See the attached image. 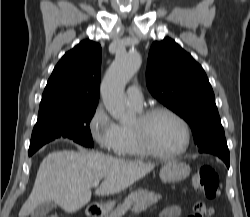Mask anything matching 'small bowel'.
<instances>
[{
	"mask_svg": "<svg viewBox=\"0 0 250 217\" xmlns=\"http://www.w3.org/2000/svg\"><path fill=\"white\" fill-rule=\"evenodd\" d=\"M181 214V209L177 205H171L165 207L161 213L160 217H179Z\"/></svg>",
	"mask_w": 250,
	"mask_h": 217,
	"instance_id": "c3829d8e",
	"label": "small bowel"
}]
</instances>
